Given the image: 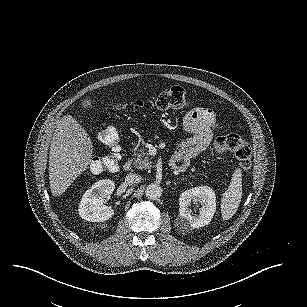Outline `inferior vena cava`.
I'll return each mask as SVG.
<instances>
[{
    "label": "inferior vena cava",
    "mask_w": 307,
    "mask_h": 307,
    "mask_svg": "<svg viewBox=\"0 0 307 307\" xmlns=\"http://www.w3.org/2000/svg\"><path fill=\"white\" fill-rule=\"evenodd\" d=\"M125 182L128 185H134L138 182V175L136 173H129L125 178Z\"/></svg>",
    "instance_id": "1"
}]
</instances>
